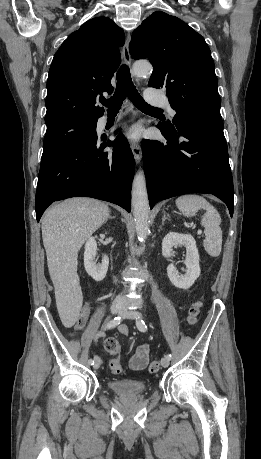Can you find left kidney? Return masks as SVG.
Returning <instances> with one entry per match:
<instances>
[{
    "label": "left kidney",
    "instance_id": "obj_1",
    "mask_svg": "<svg viewBox=\"0 0 261 459\" xmlns=\"http://www.w3.org/2000/svg\"><path fill=\"white\" fill-rule=\"evenodd\" d=\"M178 245L186 247L185 274H180L174 264H169L167 275L175 287L189 289L200 276L199 253L196 241L191 235L170 232L162 241V255L169 258L172 255L173 248Z\"/></svg>",
    "mask_w": 261,
    "mask_h": 459
}]
</instances>
